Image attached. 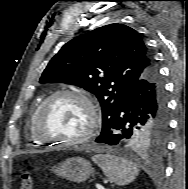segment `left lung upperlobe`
Here are the masks:
<instances>
[{"label":"left lung upper lobe","mask_w":188,"mask_h":189,"mask_svg":"<svg viewBox=\"0 0 188 189\" xmlns=\"http://www.w3.org/2000/svg\"><path fill=\"white\" fill-rule=\"evenodd\" d=\"M155 64L140 34L123 24H109L75 37L51 59L40 83H67L98 98L105 133L129 88ZM166 128L147 127L129 143L133 148L161 151Z\"/></svg>","instance_id":"left-lung-upper-lobe-1"}]
</instances>
